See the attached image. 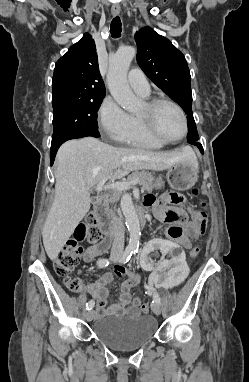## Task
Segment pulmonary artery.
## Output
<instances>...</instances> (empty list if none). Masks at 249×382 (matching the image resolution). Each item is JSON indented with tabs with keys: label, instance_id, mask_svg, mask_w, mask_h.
I'll return each instance as SVG.
<instances>
[{
	"label": "pulmonary artery",
	"instance_id": "1",
	"mask_svg": "<svg viewBox=\"0 0 249 382\" xmlns=\"http://www.w3.org/2000/svg\"><path fill=\"white\" fill-rule=\"evenodd\" d=\"M128 83L130 87L137 93L148 96L150 94L149 82L144 73L137 69H131L128 73Z\"/></svg>",
	"mask_w": 249,
	"mask_h": 382
}]
</instances>
